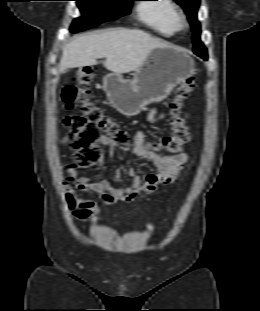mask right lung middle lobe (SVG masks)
<instances>
[{"instance_id": "dd1d6c3e", "label": "right lung middle lobe", "mask_w": 260, "mask_h": 311, "mask_svg": "<svg viewBox=\"0 0 260 311\" xmlns=\"http://www.w3.org/2000/svg\"><path fill=\"white\" fill-rule=\"evenodd\" d=\"M82 13L71 26V32H79L96 27L105 21L129 14L134 0H75Z\"/></svg>"}]
</instances>
